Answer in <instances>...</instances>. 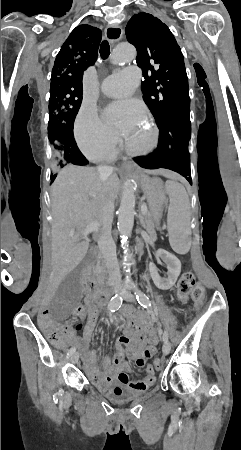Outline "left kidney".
<instances>
[{"label": "left kidney", "instance_id": "left-kidney-1", "mask_svg": "<svg viewBox=\"0 0 241 450\" xmlns=\"http://www.w3.org/2000/svg\"><path fill=\"white\" fill-rule=\"evenodd\" d=\"M156 258H161L164 264H166V268L168 270L167 278H161L158 274L156 266H154V264H150L149 270L151 278L159 290H170L172 286H175L177 278L181 272V262L178 258H176V256L169 254L166 250H157Z\"/></svg>", "mask_w": 241, "mask_h": 450}]
</instances>
